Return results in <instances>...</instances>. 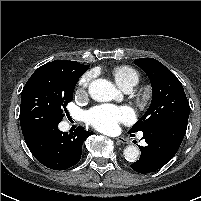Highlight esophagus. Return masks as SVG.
I'll return each mask as SVG.
<instances>
[{
  "mask_svg": "<svg viewBox=\"0 0 201 201\" xmlns=\"http://www.w3.org/2000/svg\"><path fill=\"white\" fill-rule=\"evenodd\" d=\"M115 140L118 143L128 144V141L125 138H123V137H116Z\"/></svg>",
  "mask_w": 201,
  "mask_h": 201,
  "instance_id": "obj_1",
  "label": "esophagus"
}]
</instances>
